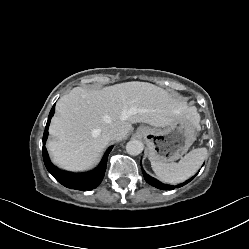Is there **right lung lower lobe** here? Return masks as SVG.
I'll list each match as a JSON object with an SVG mask.
<instances>
[{"label": "right lung lower lobe", "instance_id": "98d812e1", "mask_svg": "<svg viewBox=\"0 0 249 249\" xmlns=\"http://www.w3.org/2000/svg\"><path fill=\"white\" fill-rule=\"evenodd\" d=\"M54 111H55V105L52 107L50 111L48 121H47L45 131H44V135H43V159H44V163H45L47 170L52 174V176L55 179H57V181L60 184L64 185L67 188L77 189V190H82V191L92 190L96 188L101 183L105 175L107 158H108V154L112 150V147H110L106 151L98 167L90 172L70 173V172H66V171H62L58 169L50 162V159H49L46 147H45V142L48 137V127L50 124V120L52 116L54 115Z\"/></svg>", "mask_w": 249, "mask_h": 249}]
</instances>
